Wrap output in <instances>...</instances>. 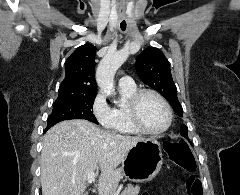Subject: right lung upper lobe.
I'll return each mask as SVG.
<instances>
[{
  "instance_id": "right-lung-upper-lobe-1",
  "label": "right lung upper lobe",
  "mask_w": 240,
  "mask_h": 195,
  "mask_svg": "<svg viewBox=\"0 0 240 195\" xmlns=\"http://www.w3.org/2000/svg\"><path fill=\"white\" fill-rule=\"evenodd\" d=\"M95 53V46L85 44L67 58L65 79L60 85L59 97L96 96Z\"/></svg>"
}]
</instances>
